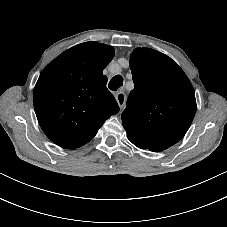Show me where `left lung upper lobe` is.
I'll list each match as a JSON object with an SVG mask.
<instances>
[{
	"label": "left lung upper lobe",
	"mask_w": 227,
	"mask_h": 227,
	"mask_svg": "<svg viewBox=\"0 0 227 227\" xmlns=\"http://www.w3.org/2000/svg\"><path fill=\"white\" fill-rule=\"evenodd\" d=\"M134 89L121 115L128 139L141 149L162 151L187 132L196 112L186 74L167 55L137 48L130 57Z\"/></svg>",
	"instance_id": "left-lung-upper-lobe-1"
}]
</instances>
